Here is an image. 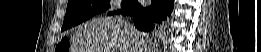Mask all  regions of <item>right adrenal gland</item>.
Segmentation results:
<instances>
[{"label": "right adrenal gland", "instance_id": "2a0ac1e0", "mask_svg": "<svg viewBox=\"0 0 261 52\" xmlns=\"http://www.w3.org/2000/svg\"><path fill=\"white\" fill-rule=\"evenodd\" d=\"M153 50L155 51V48H146L144 51L145 52H153Z\"/></svg>", "mask_w": 261, "mask_h": 52}]
</instances>
